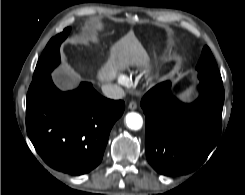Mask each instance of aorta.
<instances>
[{"label":"aorta","instance_id":"762f6f07","mask_svg":"<svg viewBox=\"0 0 245 195\" xmlns=\"http://www.w3.org/2000/svg\"><path fill=\"white\" fill-rule=\"evenodd\" d=\"M126 124L131 130H139L143 125V119L140 114L130 112L126 115Z\"/></svg>","mask_w":245,"mask_h":195}]
</instances>
